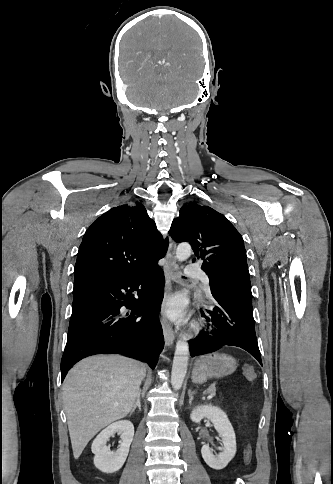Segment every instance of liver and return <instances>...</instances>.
<instances>
[{"instance_id": "6515ba94", "label": "liver", "mask_w": 333, "mask_h": 484, "mask_svg": "<svg viewBox=\"0 0 333 484\" xmlns=\"http://www.w3.org/2000/svg\"><path fill=\"white\" fill-rule=\"evenodd\" d=\"M145 367L123 356H91L76 364L63 383L73 456L104 427L131 412Z\"/></svg>"}]
</instances>
